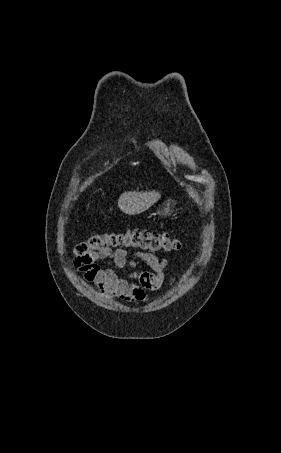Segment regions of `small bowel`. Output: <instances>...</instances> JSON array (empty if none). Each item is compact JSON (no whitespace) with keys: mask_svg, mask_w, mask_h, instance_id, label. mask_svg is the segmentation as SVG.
I'll list each match as a JSON object with an SVG mask.
<instances>
[{"mask_svg":"<svg viewBox=\"0 0 281 453\" xmlns=\"http://www.w3.org/2000/svg\"><path fill=\"white\" fill-rule=\"evenodd\" d=\"M107 263L75 260L74 268L84 282L93 285L106 299L134 303L149 298L148 292L159 290L165 283L178 279L179 274H168L166 260L151 253L128 254L123 248L102 251Z\"/></svg>","mask_w":281,"mask_h":453,"instance_id":"small-bowel-1","label":"small bowel"}]
</instances>
